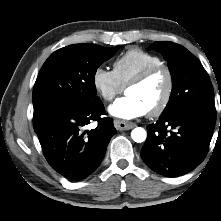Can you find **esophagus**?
Wrapping results in <instances>:
<instances>
[{
  "label": "esophagus",
  "instance_id": "1",
  "mask_svg": "<svg viewBox=\"0 0 221 221\" xmlns=\"http://www.w3.org/2000/svg\"><path fill=\"white\" fill-rule=\"evenodd\" d=\"M114 126L119 131L130 130L134 128L136 125L131 122H126L123 120L116 119L114 120Z\"/></svg>",
  "mask_w": 221,
  "mask_h": 221
}]
</instances>
